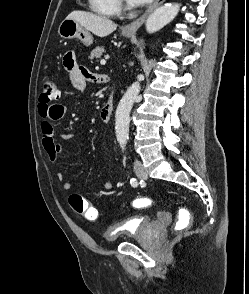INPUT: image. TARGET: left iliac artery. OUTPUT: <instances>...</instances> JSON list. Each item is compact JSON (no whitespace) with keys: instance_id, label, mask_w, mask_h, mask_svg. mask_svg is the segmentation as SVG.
Listing matches in <instances>:
<instances>
[{"instance_id":"obj_1","label":"left iliac artery","mask_w":249,"mask_h":294,"mask_svg":"<svg viewBox=\"0 0 249 294\" xmlns=\"http://www.w3.org/2000/svg\"><path fill=\"white\" fill-rule=\"evenodd\" d=\"M122 149L124 150V147H122ZM130 183H131V185L132 186H137V180L135 179V178H132L131 180H130Z\"/></svg>"}]
</instances>
